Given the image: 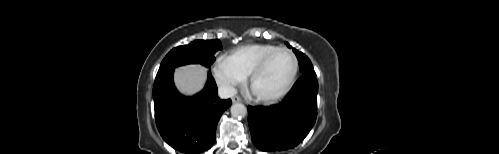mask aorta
Returning <instances> with one entry per match:
<instances>
[{
  "label": "aorta",
  "instance_id": "1",
  "mask_svg": "<svg viewBox=\"0 0 499 154\" xmlns=\"http://www.w3.org/2000/svg\"><path fill=\"white\" fill-rule=\"evenodd\" d=\"M230 111H231V115L234 118H241V117L246 116V114H247V108L242 103H235V104H233L231 106Z\"/></svg>",
  "mask_w": 499,
  "mask_h": 154
}]
</instances>
